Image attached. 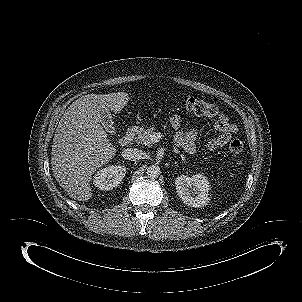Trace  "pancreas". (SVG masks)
<instances>
[{"mask_svg":"<svg viewBox=\"0 0 302 302\" xmlns=\"http://www.w3.org/2000/svg\"><path fill=\"white\" fill-rule=\"evenodd\" d=\"M154 130V128H148L140 131L137 136V142L145 146H150L152 144L151 136L154 134Z\"/></svg>","mask_w":302,"mask_h":302,"instance_id":"1","label":"pancreas"}]
</instances>
